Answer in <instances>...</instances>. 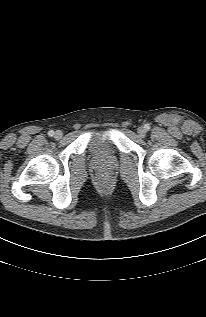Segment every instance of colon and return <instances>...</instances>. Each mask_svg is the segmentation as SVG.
I'll return each mask as SVG.
<instances>
[{
    "mask_svg": "<svg viewBox=\"0 0 206 317\" xmlns=\"http://www.w3.org/2000/svg\"><path fill=\"white\" fill-rule=\"evenodd\" d=\"M99 184L101 186L105 187L109 184V179L107 177H103L99 180Z\"/></svg>",
    "mask_w": 206,
    "mask_h": 317,
    "instance_id": "obj_1",
    "label": "colon"
}]
</instances>
